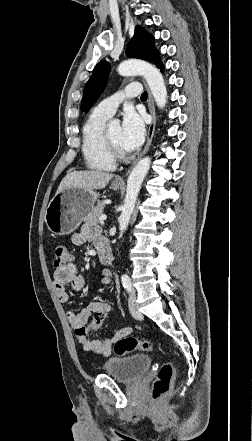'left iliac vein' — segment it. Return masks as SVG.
Wrapping results in <instances>:
<instances>
[{
	"mask_svg": "<svg viewBox=\"0 0 252 441\" xmlns=\"http://www.w3.org/2000/svg\"><path fill=\"white\" fill-rule=\"evenodd\" d=\"M129 310H130L131 315L134 318H138L139 319V318L142 317L141 312L138 310V306H137V303H136V296H135V292L134 291H132V293L130 295V298H129Z\"/></svg>",
	"mask_w": 252,
	"mask_h": 441,
	"instance_id": "1",
	"label": "left iliac vein"
}]
</instances>
